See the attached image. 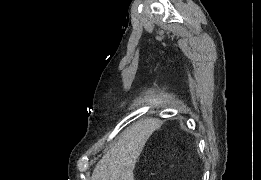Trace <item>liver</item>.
<instances>
[{
  "label": "liver",
  "instance_id": "1",
  "mask_svg": "<svg viewBox=\"0 0 261 180\" xmlns=\"http://www.w3.org/2000/svg\"><path fill=\"white\" fill-rule=\"evenodd\" d=\"M153 126L154 120H141L124 130L116 146L96 164L91 180H134L135 164Z\"/></svg>",
  "mask_w": 261,
  "mask_h": 180
}]
</instances>
